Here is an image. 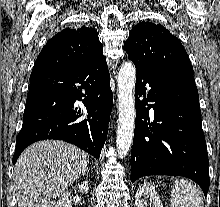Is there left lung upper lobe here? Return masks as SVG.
Segmentation results:
<instances>
[{
	"mask_svg": "<svg viewBox=\"0 0 220 207\" xmlns=\"http://www.w3.org/2000/svg\"><path fill=\"white\" fill-rule=\"evenodd\" d=\"M136 67L155 74L184 71L193 74L190 59L180 40L159 24L140 22L124 44Z\"/></svg>",
	"mask_w": 220,
	"mask_h": 207,
	"instance_id": "1",
	"label": "left lung upper lobe"
}]
</instances>
